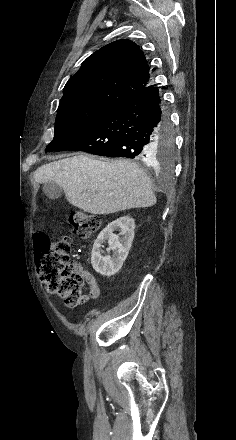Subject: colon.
I'll list each match as a JSON object with an SVG mask.
<instances>
[{"label": "colon", "mask_w": 236, "mask_h": 440, "mask_svg": "<svg viewBox=\"0 0 236 440\" xmlns=\"http://www.w3.org/2000/svg\"><path fill=\"white\" fill-rule=\"evenodd\" d=\"M72 233L88 237L99 229L100 219L81 210H72L67 217ZM39 276L46 289L62 300L67 308H76L84 303L82 293L85 278L82 271L70 262L73 243L70 237L51 242L49 237L37 232L33 237Z\"/></svg>", "instance_id": "obj_1"}]
</instances>
